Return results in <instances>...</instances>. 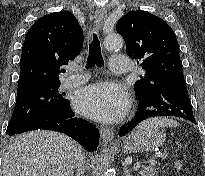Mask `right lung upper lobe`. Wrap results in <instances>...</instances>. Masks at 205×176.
<instances>
[{
    "mask_svg": "<svg viewBox=\"0 0 205 176\" xmlns=\"http://www.w3.org/2000/svg\"><path fill=\"white\" fill-rule=\"evenodd\" d=\"M82 45L83 31L71 12H55L38 19L23 44L17 96L60 85V68L78 55Z\"/></svg>",
    "mask_w": 205,
    "mask_h": 176,
    "instance_id": "cb5924a9",
    "label": "right lung upper lobe"
}]
</instances>
